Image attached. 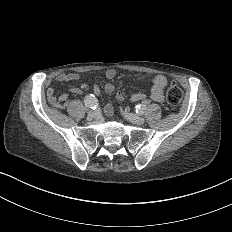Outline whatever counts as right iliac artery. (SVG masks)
Segmentation results:
<instances>
[{"mask_svg":"<svg viewBox=\"0 0 232 232\" xmlns=\"http://www.w3.org/2000/svg\"><path fill=\"white\" fill-rule=\"evenodd\" d=\"M84 103L86 107H89L91 109H95L98 106V99L94 94H88L84 98Z\"/></svg>","mask_w":232,"mask_h":232,"instance_id":"82829eb1","label":"right iliac artery"}]
</instances>
